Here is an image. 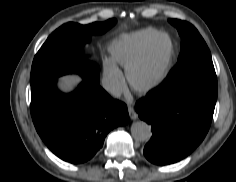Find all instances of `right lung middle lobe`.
Segmentation results:
<instances>
[{
    "instance_id": "dd1d6c3e",
    "label": "right lung middle lobe",
    "mask_w": 236,
    "mask_h": 182,
    "mask_svg": "<svg viewBox=\"0 0 236 182\" xmlns=\"http://www.w3.org/2000/svg\"><path fill=\"white\" fill-rule=\"evenodd\" d=\"M116 23L115 19L89 25L66 23L55 30L35 55L30 84L78 73L91 84H99V67L85 61L83 45L91 35L102 34Z\"/></svg>"
}]
</instances>
